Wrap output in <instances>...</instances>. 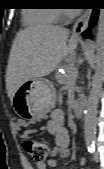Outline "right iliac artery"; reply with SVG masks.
Instances as JSON below:
<instances>
[{
	"label": "right iliac artery",
	"instance_id": "1",
	"mask_svg": "<svg viewBox=\"0 0 104 169\" xmlns=\"http://www.w3.org/2000/svg\"><path fill=\"white\" fill-rule=\"evenodd\" d=\"M87 149L90 153L95 151V141L94 140H87L86 141Z\"/></svg>",
	"mask_w": 104,
	"mask_h": 169
}]
</instances>
